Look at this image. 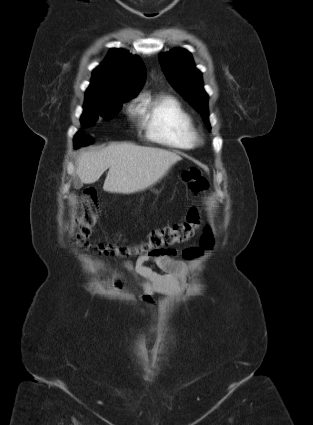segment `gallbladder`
<instances>
[{
	"label": "gallbladder",
	"mask_w": 313,
	"mask_h": 425,
	"mask_svg": "<svg viewBox=\"0 0 313 425\" xmlns=\"http://www.w3.org/2000/svg\"><path fill=\"white\" fill-rule=\"evenodd\" d=\"M73 186H74V188H76V189H80V188L83 186V183H82V181L79 179V177H78V176H75V177L73 178Z\"/></svg>",
	"instance_id": "1"
}]
</instances>
